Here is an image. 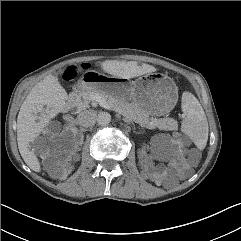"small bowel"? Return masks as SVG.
Returning a JSON list of instances; mask_svg holds the SVG:
<instances>
[{
    "instance_id": "obj_1",
    "label": "small bowel",
    "mask_w": 241,
    "mask_h": 241,
    "mask_svg": "<svg viewBox=\"0 0 241 241\" xmlns=\"http://www.w3.org/2000/svg\"><path fill=\"white\" fill-rule=\"evenodd\" d=\"M68 69H72V68H68ZM66 70H67V69H66ZM66 70H65V71H66ZM72 70H73V69H72ZM73 71H74V70H73Z\"/></svg>"
}]
</instances>
